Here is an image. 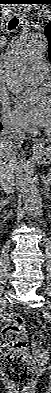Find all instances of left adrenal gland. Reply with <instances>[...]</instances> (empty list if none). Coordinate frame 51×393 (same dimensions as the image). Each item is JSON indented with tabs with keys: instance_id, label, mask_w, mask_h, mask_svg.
<instances>
[{
	"instance_id": "obj_1",
	"label": "left adrenal gland",
	"mask_w": 51,
	"mask_h": 393,
	"mask_svg": "<svg viewBox=\"0 0 51 393\" xmlns=\"http://www.w3.org/2000/svg\"><path fill=\"white\" fill-rule=\"evenodd\" d=\"M49 190H50V188L48 187V184H46V192H45V195H46V197H49Z\"/></svg>"
}]
</instances>
